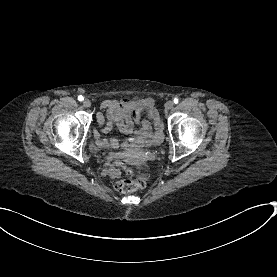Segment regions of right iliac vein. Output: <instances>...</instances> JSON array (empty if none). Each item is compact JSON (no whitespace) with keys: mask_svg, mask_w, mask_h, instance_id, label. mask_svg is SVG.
<instances>
[{"mask_svg":"<svg viewBox=\"0 0 277 277\" xmlns=\"http://www.w3.org/2000/svg\"><path fill=\"white\" fill-rule=\"evenodd\" d=\"M83 106H84L85 108H89V107L91 106L90 100L85 99V100L83 101Z\"/></svg>","mask_w":277,"mask_h":277,"instance_id":"63e3f726","label":"right iliac vein"}]
</instances>
